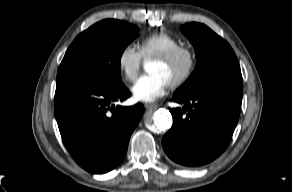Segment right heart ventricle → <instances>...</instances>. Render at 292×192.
Masks as SVG:
<instances>
[{
    "mask_svg": "<svg viewBox=\"0 0 292 192\" xmlns=\"http://www.w3.org/2000/svg\"><path fill=\"white\" fill-rule=\"evenodd\" d=\"M180 45L181 41L178 37L160 31L143 37L138 44V50L142 58L148 59L163 54Z\"/></svg>",
    "mask_w": 292,
    "mask_h": 192,
    "instance_id": "e07e8e85",
    "label": "right heart ventricle"
}]
</instances>
